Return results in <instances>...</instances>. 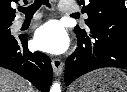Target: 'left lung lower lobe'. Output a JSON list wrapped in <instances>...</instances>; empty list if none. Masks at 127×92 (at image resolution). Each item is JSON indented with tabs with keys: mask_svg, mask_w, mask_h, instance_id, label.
<instances>
[{
	"mask_svg": "<svg viewBox=\"0 0 127 92\" xmlns=\"http://www.w3.org/2000/svg\"><path fill=\"white\" fill-rule=\"evenodd\" d=\"M77 36L78 48L66 61L67 85L98 68L127 69V27L101 25Z\"/></svg>",
	"mask_w": 127,
	"mask_h": 92,
	"instance_id": "left-lung-lower-lobe-1",
	"label": "left lung lower lobe"
}]
</instances>
